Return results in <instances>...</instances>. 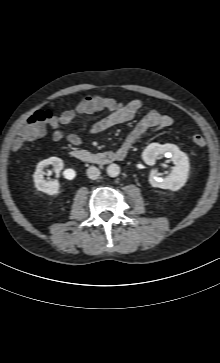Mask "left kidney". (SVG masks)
Masks as SVG:
<instances>
[{
    "label": "left kidney",
    "mask_w": 220,
    "mask_h": 363,
    "mask_svg": "<svg viewBox=\"0 0 220 363\" xmlns=\"http://www.w3.org/2000/svg\"><path fill=\"white\" fill-rule=\"evenodd\" d=\"M159 154L170 157L174 163L171 173L166 177H157L152 171L149 176V182L153 187L161 189L179 190L187 181L189 174V161L185 153L179 150L174 144L160 145L152 143L146 147L142 153V159L148 165H154Z\"/></svg>",
    "instance_id": "obj_1"
}]
</instances>
